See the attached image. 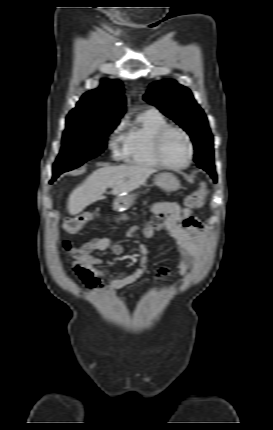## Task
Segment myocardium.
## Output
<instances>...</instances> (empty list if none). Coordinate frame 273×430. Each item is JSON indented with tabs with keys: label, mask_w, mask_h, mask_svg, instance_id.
Returning a JSON list of instances; mask_svg holds the SVG:
<instances>
[{
	"label": "myocardium",
	"mask_w": 273,
	"mask_h": 430,
	"mask_svg": "<svg viewBox=\"0 0 273 430\" xmlns=\"http://www.w3.org/2000/svg\"><path fill=\"white\" fill-rule=\"evenodd\" d=\"M171 131H177V132L181 133L186 140V143L188 146V158L184 164L173 165V164L166 162L165 159L163 158L162 144H163L165 136ZM153 150H154V155H155L157 162L162 167H165V168L171 169V170H183V169L187 168L192 163V160L194 157V148H193V143H192L190 135L183 128H181L179 126H174V125L164 126L163 128H161L156 133V135L154 137Z\"/></svg>",
	"instance_id": "f54148a6"
}]
</instances>
